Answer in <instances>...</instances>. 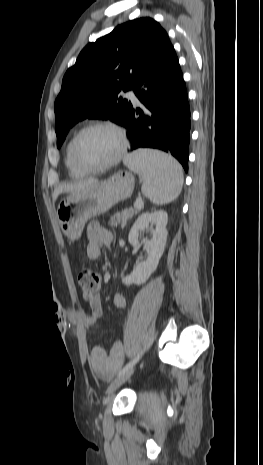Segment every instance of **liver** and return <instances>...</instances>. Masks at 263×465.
<instances>
[{
    "label": "liver",
    "mask_w": 263,
    "mask_h": 465,
    "mask_svg": "<svg viewBox=\"0 0 263 465\" xmlns=\"http://www.w3.org/2000/svg\"><path fill=\"white\" fill-rule=\"evenodd\" d=\"M97 182H98L97 179H88V180L80 181L76 183L60 185L54 190L53 200L55 201L61 193L77 192Z\"/></svg>",
    "instance_id": "6515ba94"
}]
</instances>
